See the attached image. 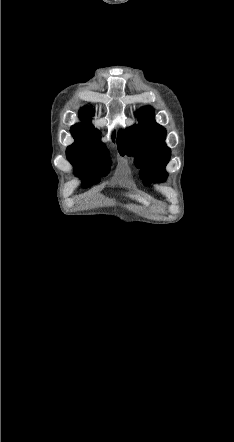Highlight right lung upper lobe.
<instances>
[{"label": "right lung upper lobe", "instance_id": "right-lung-upper-lobe-1", "mask_svg": "<svg viewBox=\"0 0 234 442\" xmlns=\"http://www.w3.org/2000/svg\"><path fill=\"white\" fill-rule=\"evenodd\" d=\"M93 113V108L89 106L82 108L79 112V116L84 124H76L72 126L71 133L80 143L87 147H103L104 144L99 140V131L90 123Z\"/></svg>", "mask_w": 234, "mask_h": 442}]
</instances>
